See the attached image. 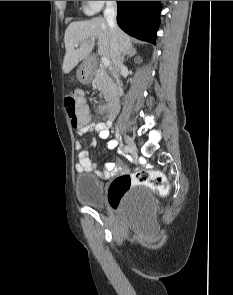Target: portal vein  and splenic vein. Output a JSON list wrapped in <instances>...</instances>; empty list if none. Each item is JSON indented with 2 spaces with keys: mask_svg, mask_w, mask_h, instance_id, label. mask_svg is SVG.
Returning a JSON list of instances; mask_svg holds the SVG:
<instances>
[{
  "mask_svg": "<svg viewBox=\"0 0 233 295\" xmlns=\"http://www.w3.org/2000/svg\"><path fill=\"white\" fill-rule=\"evenodd\" d=\"M75 47H78V44H75ZM101 61L105 67L110 65V60L107 57L102 56Z\"/></svg>",
  "mask_w": 233,
  "mask_h": 295,
  "instance_id": "portal-vein-and-splenic-vein-1",
  "label": "portal vein and splenic vein"
}]
</instances>
